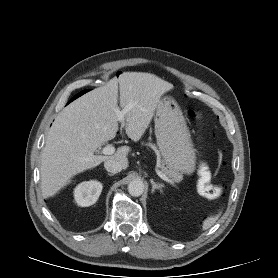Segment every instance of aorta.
<instances>
[{"mask_svg":"<svg viewBox=\"0 0 278 278\" xmlns=\"http://www.w3.org/2000/svg\"><path fill=\"white\" fill-rule=\"evenodd\" d=\"M144 183L141 180L135 179L128 184V192L131 196L139 197L143 194Z\"/></svg>","mask_w":278,"mask_h":278,"instance_id":"1","label":"aorta"}]
</instances>
